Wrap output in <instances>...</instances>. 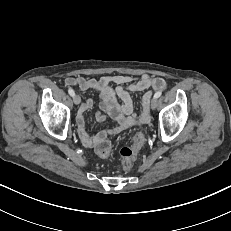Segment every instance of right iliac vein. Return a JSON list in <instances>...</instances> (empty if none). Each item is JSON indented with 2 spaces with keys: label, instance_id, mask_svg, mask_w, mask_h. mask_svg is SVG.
I'll use <instances>...</instances> for the list:
<instances>
[{
  "label": "right iliac vein",
  "instance_id": "obj_1",
  "mask_svg": "<svg viewBox=\"0 0 231 231\" xmlns=\"http://www.w3.org/2000/svg\"><path fill=\"white\" fill-rule=\"evenodd\" d=\"M73 101H74V103H75L76 105H79L80 102H81L80 96L75 95V96L73 97Z\"/></svg>",
  "mask_w": 231,
  "mask_h": 231
}]
</instances>
